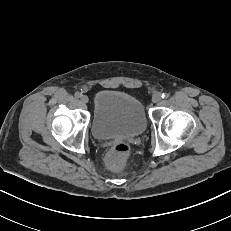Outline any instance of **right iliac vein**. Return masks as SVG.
Segmentation results:
<instances>
[{
  "instance_id": "obj_1",
  "label": "right iliac vein",
  "mask_w": 231,
  "mask_h": 231,
  "mask_svg": "<svg viewBox=\"0 0 231 231\" xmlns=\"http://www.w3.org/2000/svg\"><path fill=\"white\" fill-rule=\"evenodd\" d=\"M80 99H81V101H82L83 103H88V102H89V98H88L87 95H82Z\"/></svg>"
}]
</instances>
